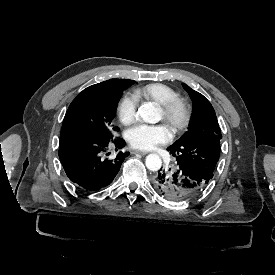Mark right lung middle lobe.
I'll list each match as a JSON object with an SVG mask.
<instances>
[{
	"label": "right lung middle lobe",
	"instance_id": "1",
	"mask_svg": "<svg viewBox=\"0 0 275 275\" xmlns=\"http://www.w3.org/2000/svg\"><path fill=\"white\" fill-rule=\"evenodd\" d=\"M118 85L84 89L70 104L61 129V137L66 135H86L100 140L113 139L112 126L117 104L122 91L131 86Z\"/></svg>",
	"mask_w": 275,
	"mask_h": 275
}]
</instances>
